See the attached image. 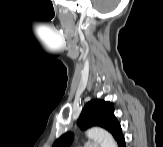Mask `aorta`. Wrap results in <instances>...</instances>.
Wrapping results in <instances>:
<instances>
[{
    "label": "aorta",
    "mask_w": 163,
    "mask_h": 147,
    "mask_svg": "<svg viewBox=\"0 0 163 147\" xmlns=\"http://www.w3.org/2000/svg\"><path fill=\"white\" fill-rule=\"evenodd\" d=\"M89 139L97 141L101 147H117L112 135L106 130L99 127H92L86 132Z\"/></svg>",
    "instance_id": "obj_1"
}]
</instances>
